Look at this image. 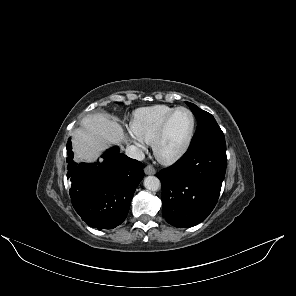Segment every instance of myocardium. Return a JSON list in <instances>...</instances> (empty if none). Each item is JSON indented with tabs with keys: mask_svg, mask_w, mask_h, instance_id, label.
<instances>
[{
	"mask_svg": "<svg viewBox=\"0 0 296 296\" xmlns=\"http://www.w3.org/2000/svg\"><path fill=\"white\" fill-rule=\"evenodd\" d=\"M179 111H186L190 114L191 119H192L190 132H189L184 144L181 146V148L178 151H176L175 153L170 154V155H163L160 152V145L164 139V136H165V133H166L169 123L171 122L174 115ZM195 129H196V117H195L194 113L187 107L175 108L165 118V120L161 124V126L155 136V139L152 143V148H153V152H154L156 159L164 164H171V163H174V162L178 161L179 159H181L185 155V153L187 152V150L189 149V147L191 145V142H192V139H193V136L195 133Z\"/></svg>",
	"mask_w": 296,
	"mask_h": 296,
	"instance_id": "obj_1",
	"label": "myocardium"
}]
</instances>
